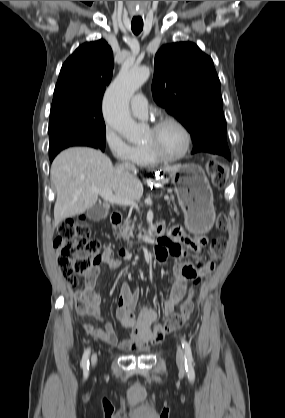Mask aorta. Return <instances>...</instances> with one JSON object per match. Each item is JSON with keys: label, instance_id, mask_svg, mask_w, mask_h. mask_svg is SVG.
Here are the masks:
<instances>
[{"label": "aorta", "instance_id": "762f6f07", "mask_svg": "<svg viewBox=\"0 0 285 418\" xmlns=\"http://www.w3.org/2000/svg\"><path fill=\"white\" fill-rule=\"evenodd\" d=\"M149 76L150 69L147 66L124 67L105 93V121L129 142H138L144 135L143 126L137 124L130 115L129 100Z\"/></svg>", "mask_w": 285, "mask_h": 418}]
</instances>
